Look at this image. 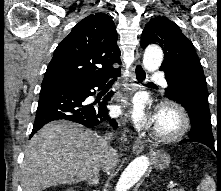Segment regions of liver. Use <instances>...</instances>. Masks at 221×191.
<instances>
[{"label": "liver", "instance_id": "6515ba94", "mask_svg": "<svg viewBox=\"0 0 221 191\" xmlns=\"http://www.w3.org/2000/svg\"><path fill=\"white\" fill-rule=\"evenodd\" d=\"M105 145L92 130L65 120L46 124L29 141L21 165L23 191H42L90 179L99 172ZM115 157L105 170L112 167Z\"/></svg>", "mask_w": 221, "mask_h": 191}]
</instances>
